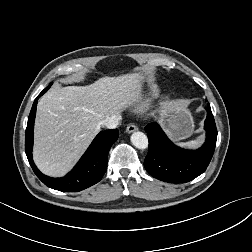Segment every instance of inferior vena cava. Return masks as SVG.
I'll use <instances>...</instances> for the list:
<instances>
[{
    "label": "inferior vena cava",
    "instance_id": "obj_1",
    "mask_svg": "<svg viewBox=\"0 0 252 252\" xmlns=\"http://www.w3.org/2000/svg\"><path fill=\"white\" fill-rule=\"evenodd\" d=\"M120 119H121L120 116L107 117L101 122V124L108 129H114L119 125Z\"/></svg>",
    "mask_w": 252,
    "mask_h": 252
}]
</instances>
